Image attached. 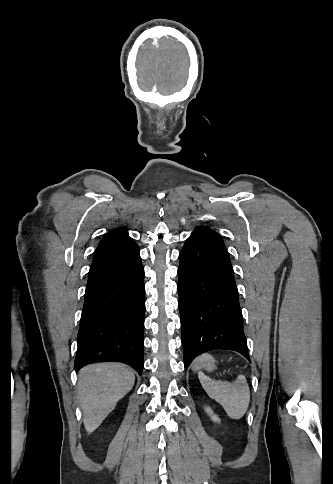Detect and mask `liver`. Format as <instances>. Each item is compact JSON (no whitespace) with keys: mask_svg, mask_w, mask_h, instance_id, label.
Instances as JSON below:
<instances>
[{"mask_svg":"<svg viewBox=\"0 0 333 484\" xmlns=\"http://www.w3.org/2000/svg\"><path fill=\"white\" fill-rule=\"evenodd\" d=\"M134 374L120 363H98L79 372V400L88 433L95 431L132 388Z\"/></svg>","mask_w":333,"mask_h":484,"instance_id":"6515ba94","label":"liver"}]
</instances>
